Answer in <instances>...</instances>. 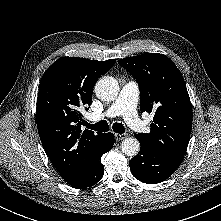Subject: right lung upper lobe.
Masks as SVG:
<instances>
[{
	"instance_id": "1",
	"label": "right lung upper lobe",
	"mask_w": 221,
	"mask_h": 221,
	"mask_svg": "<svg viewBox=\"0 0 221 221\" xmlns=\"http://www.w3.org/2000/svg\"><path fill=\"white\" fill-rule=\"evenodd\" d=\"M115 62L63 57L41 78L38 133L50 161L69 184L79 179L95 160L103 133L82 131L81 111L89 109L96 81Z\"/></svg>"
}]
</instances>
